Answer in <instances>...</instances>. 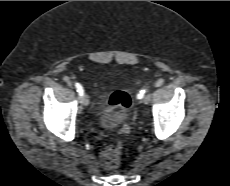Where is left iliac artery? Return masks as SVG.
Segmentation results:
<instances>
[{
  "label": "left iliac artery",
  "mask_w": 230,
  "mask_h": 186,
  "mask_svg": "<svg viewBox=\"0 0 230 186\" xmlns=\"http://www.w3.org/2000/svg\"><path fill=\"white\" fill-rule=\"evenodd\" d=\"M146 91H147V90H145V89H144V90H141V91L138 93L137 98H138V99L143 98V97H144V94L146 93Z\"/></svg>",
  "instance_id": "left-iliac-artery-1"
}]
</instances>
